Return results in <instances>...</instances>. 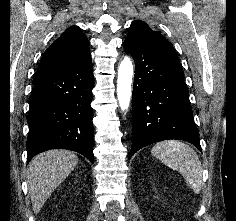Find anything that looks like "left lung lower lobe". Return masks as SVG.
<instances>
[{"instance_id": "0a47b994", "label": "left lung lower lobe", "mask_w": 236, "mask_h": 221, "mask_svg": "<svg viewBox=\"0 0 236 221\" xmlns=\"http://www.w3.org/2000/svg\"><path fill=\"white\" fill-rule=\"evenodd\" d=\"M124 50L135 60L129 159L139 149L168 139L190 142L201 151L178 57L136 35L127 36Z\"/></svg>"}]
</instances>
